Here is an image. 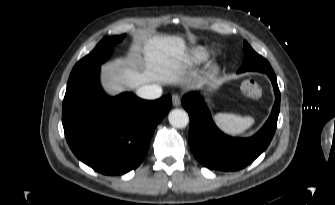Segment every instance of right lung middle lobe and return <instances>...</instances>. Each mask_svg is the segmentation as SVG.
Masks as SVG:
<instances>
[{
    "label": "right lung middle lobe",
    "mask_w": 335,
    "mask_h": 205,
    "mask_svg": "<svg viewBox=\"0 0 335 205\" xmlns=\"http://www.w3.org/2000/svg\"><path fill=\"white\" fill-rule=\"evenodd\" d=\"M125 35L105 37L98 45L90 52L87 56L82 58L72 69L70 78L77 76L78 74L89 70L93 67L100 66L104 63L112 54L113 46L121 42Z\"/></svg>",
    "instance_id": "1"
}]
</instances>
